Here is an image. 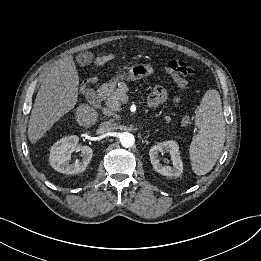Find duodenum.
Returning <instances> with one entry per match:
<instances>
[{
    "label": "duodenum",
    "mask_w": 261,
    "mask_h": 261,
    "mask_svg": "<svg viewBox=\"0 0 261 261\" xmlns=\"http://www.w3.org/2000/svg\"><path fill=\"white\" fill-rule=\"evenodd\" d=\"M107 91H108V84L105 83L103 85H101L97 91V101L99 103H101L103 101V99L105 98L106 94H107Z\"/></svg>",
    "instance_id": "duodenum-1"
}]
</instances>
